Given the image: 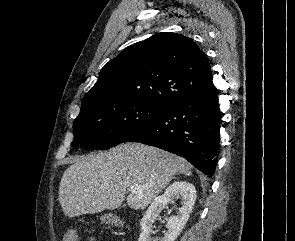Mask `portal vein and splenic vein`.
I'll use <instances>...</instances> for the list:
<instances>
[{"label":"portal vein and splenic vein","instance_id":"obj_1","mask_svg":"<svg viewBox=\"0 0 295 241\" xmlns=\"http://www.w3.org/2000/svg\"><path fill=\"white\" fill-rule=\"evenodd\" d=\"M144 187L142 186H139V185H132L130 188H129V191L131 193H136V192H139L141 189H143Z\"/></svg>","mask_w":295,"mask_h":241}]
</instances>
